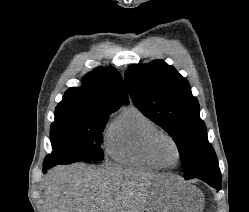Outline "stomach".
Instances as JSON below:
<instances>
[{
	"label": "stomach",
	"mask_w": 249,
	"mask_h": 212,
	"mask_svg": "<svg viewBox=\"0 0 249 212\" xmlns=\"http://www.w3.org/2000/svg\"><path fill=\"white\" fill-rule=\"evenodd\" d=\"M204 196L180 175H155L149 188L146 212H202Z\"/></svg>",
	"instance_id": "obj_1"
}]
</instances>
